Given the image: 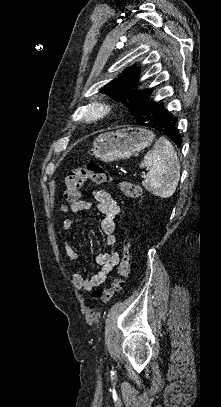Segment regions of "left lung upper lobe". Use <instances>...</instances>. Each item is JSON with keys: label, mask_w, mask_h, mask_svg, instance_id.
<instances>
[{"label": "left lung upper lobe", "mask_w": 221, "mask_h": 407, "mask_svg": "<svg viewBox=\"0 0 221 407\" xmlns=\"http://www.w3.org/2000/svg\"><path fill=\"white\" fill-rule=\"evenodd\" d=\"M139 68H133V66L126 69L122 74L118 75L103 88V93L112 92V98L121 100L123 104L136 115L140 107V98L145 90H137L139 79Z\"/></svg>", "instance_id": "left-lung-upper-lobe-1"}]
</instances>
